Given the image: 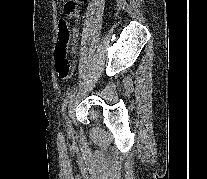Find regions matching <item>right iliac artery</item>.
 <instances>
[{"mask_svg":"<svg viewBox=\"0 0 207 179\" xmlns=\"http://www.w3.org/2000/svg\"><path fill=\"white\" fill-rule=\"evenodd\" d=\"M68 98H69V95H68V97L64 100V103H63V106H62V112H63V115H65L64 112H65L66 104H67V102H68Z\"/></svg>","mask_w":207,"mask_h":179,"instance_id":"right-iliac-artery-1","label":"right iliac artery"}]
</instances>
